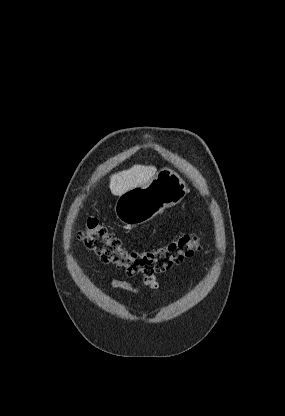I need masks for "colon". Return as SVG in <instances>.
Instances as JSON below:
<instances>
[{"label": "colon", "instance_id": "colon-1", "mask_svg": "<svg viewBox=\"0 0 285 416\" xmlns=\"http://www.w3.org/2000/svg\"><path fill=\"white\" fill-rule=\"evenodd\" d=\"M79 237L85 246L99 256L104 263L123 268L127 275L152 276L170 269L200 249V237L196 233H184L167 244L147 250L135 251L122 247L121 241L100 225L94 218L87 221Z\"/></svg>", "mask_w": 285, "mask_h": 416}]
</instances>
